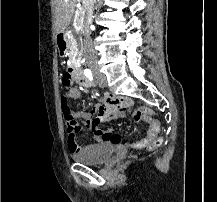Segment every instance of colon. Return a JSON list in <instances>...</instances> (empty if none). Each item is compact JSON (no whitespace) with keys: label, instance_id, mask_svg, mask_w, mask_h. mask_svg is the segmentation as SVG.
<instances>
[{"label":"colon","instance_id":"1","mask_svg":"<svg viewBox=\"0 0 217 202\" xmlns=\"http://www.w3.org/2000/svg\"><path fill=\"white\" fill-rule=\"evenodd\" d=\"M61 105H62V116L69 128V131H74L77 129V123L72 114V108L68 103V97L71 96V91H60ZM147 104H142L141 107H137L136 111L131 113V120L133 123H138L140 118H145L150 115V110L147 108ZM164 141L163 137H156L154 139V146L161 144Z\"/></svg>","mask_w":217,"mask_h":202}]
</instances>
